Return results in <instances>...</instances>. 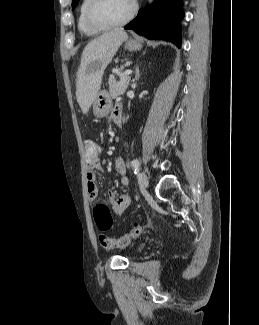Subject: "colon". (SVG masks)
<instances>
[{
	"mask_svg": "<svg viewBox=\"0 0 259 325\" xmlns=\"http://www.w3.org/2000/svg\"><path fill=\"white\" fill-rule=\"evenodd\" d=\"M84 154L87 159H95L98 155L97 144L87 139L83 142ZM94 218L98 228L102 231L109 229L112 225V216L109 208L105 204H98L94 208ZM144 230V226H135L129 233H126L119 238L101 234L99 241L104 249L111 250L115 248H123L130 244V242L139 237Z\"/></svg>",
	"mask_w": 259,
	"mask_h": 325,
	"instance_id": "1",
	"label": "colon"
}]
</instances>
